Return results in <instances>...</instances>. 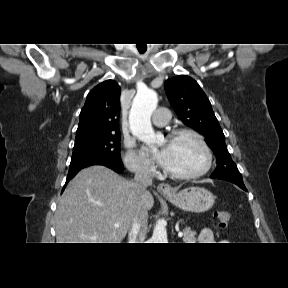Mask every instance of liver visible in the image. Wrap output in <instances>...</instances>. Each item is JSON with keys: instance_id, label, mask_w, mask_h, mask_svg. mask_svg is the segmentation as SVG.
<instances>
[{"instance_id": "liver-1", "label": "liver", "mask_w": 288, "mask_h": 288, "mask_svg": "<svg viewBox=\"0 0 288 288\" xmlns=\"http://www.w3.org/2000/svg\"><path fill=\"white\" fill-rule=\"evenodd\" d=\"M139 202L148 212L154 198L107 167L84 168L59 199L55 213L57 243H121Z\"/></svg>"}]
</instances>
